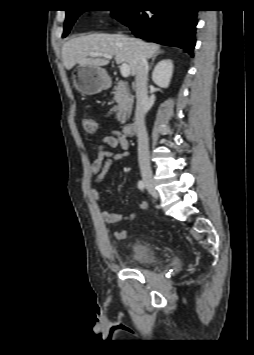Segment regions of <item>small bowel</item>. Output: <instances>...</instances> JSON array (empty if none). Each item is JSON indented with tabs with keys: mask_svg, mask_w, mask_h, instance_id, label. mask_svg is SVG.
Wrapping results in <instances>:
<instances>
[{
	"mask_svg": "<svg viewBox=\"0 0 254 355\" xmlns=\"http://www.w3.org/2000/svg\"><path fill=\"white\" fill-rule=\"evenodd\" d=\"M120 148L122 153H116L113 149ZM129 140L120 131H114L113 133L104 136L99 144L94 145L96 157L91 165V172L96 175V182L100 183L104 180L112 165L130 155L128 152ZM91 198L95 202L100 201V193L97 189H92L90 192ZM147 208V202L144 200L139 201L138 209L145 210ZM136 216V212H131L127 216L121 214L112 213L106 210H101L102 219L108 224H116L123 220H133ZM114 237L117 240H124L127 237L125 230H118L114 233Z\"/></svg>",
	"mask_w": 254,
	"mask_h": 355,
	"instance_id": "obj_1",
	"label": "small bowel"
}]
</instances>
